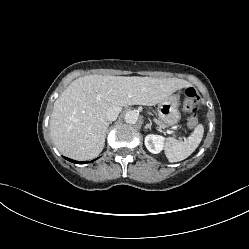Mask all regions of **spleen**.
<instances>
[{"label":"spleen","instance_id":"1","mask_svg":"<svg viewBox=\"0 0 249 249\" xmlns=\"http://www.w3.org/2000/svg\"><path fill=\"white\" fill-rule=\"evenodd\" d=\"M204 128L199 124L194 129L191 136L184 141H177L174 138H168L165 150L166 156L170 162H179L189 157L199 146L203 138Z\"/></svg>","mask_w":249,"mask_h":249}]
</instances>
